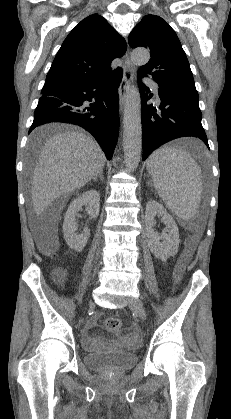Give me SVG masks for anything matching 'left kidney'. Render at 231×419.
Instances as JSON below:
<instances>
[{"label":"left kidney","instance_id":"5707ae66","mask_svg":"<svg viewBox=\"0 0 231 419\" xmlns=\"http://www.w3.org/2000/svg\"><path fill=\"white\" fill-rule=\"evenodd\" d=\"M155 216L161 217V221L168 229V234L165 233L160 236L155 232ZM145 224L148 245L156 258L166 261L170 256H174L178 252L179 231L177 224L172 216L167 213L166 209L154 200H150L146 204Z\"/></svg>","mask_w":231,"mask_h":419}]
</instances>
